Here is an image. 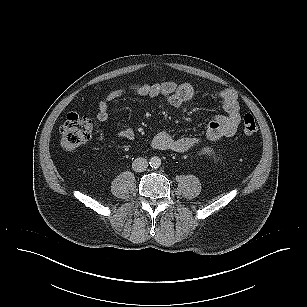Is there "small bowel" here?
Instances as JSON below:
<instances>
[{"mask_svg": "<svg viewBox=\"0 0 307 307\" xmlns=\"http://www.w3.org/2000/svg\"><path fill=\"white\" fill-rule=\"evenodd\" d=\"M133 94L139 97L153 99L163 97L172 107L179 108L194 98L195 88L189 83H178L165 81L162 83H133L125 87L111 90L98 104L96 118L105 122L109 117V105L111 102ZM211 97L221 102L223 115L212 117L206 128V138L216 141L235 134L241 120L240 106L237 95L230 89L216 91L210 94ZM120 137L132 139L134 132L131 129H124L119 133ZM200 142L196 137H173L167 132H159L152 139V146L157 150H171L174 152H187Z\"/></svg>", "mask_w": 307, "mask_h": 307, "instance_id": "obj_1", "label": "small bowel"}]
</instances>
